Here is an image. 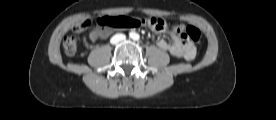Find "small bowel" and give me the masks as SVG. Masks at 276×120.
<instances>
[{
	"mask_svg": "<svg viewBox=\"0 0 276 120\" xmlns=\"http://www.w3.org/2000/svg\"><path fill=\"white\" fill-rule=\"evenodd\" d=\"M158 33H169L171 35V41H165L163 39H160L157 41V45L162 50L168 51L171 55L182 58L184 60L190 61L193 60L196 55V48L192 42L189 41H183L180 38H178L173 33L169 32L166 24L165 26L160 29L156 30ZM106 35L105 31L95 29L91 31L89 37L92 41H96Z\"/></svg>",
	"mask_w": 276,
	"mask_h": 120,
	"instance_id": "1",
	"label": "small bowel"
}]
</instances>
